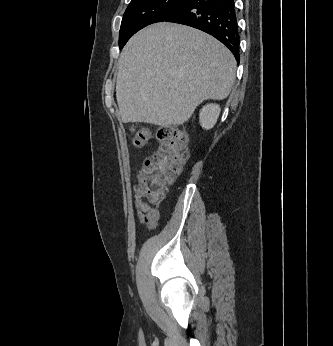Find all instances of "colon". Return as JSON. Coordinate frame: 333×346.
I'll list each match as a JSON object with an SVG mask.
<instances>
[{
    "instance_id": "obj_1",
    "label": "colon",
    "mask_w": 333,
    "mask_h": 346,
    "mask_svg": "<svg viewBox=\"0 0 333 346\" xmlns=\"http://www.w3.org/2000/svg\"><path fill=\"white\" fill-rule=\"evenodd\" d=\"M148 129H137L133 134L134 144L143 146L149 139ZM159 146L146 159L139 176L138 191L148 204H159L165 191L179 175L188 157L184 134L173 128L162 129L158 134Z\"/></svg>"
}]
</instances>
